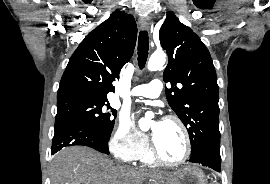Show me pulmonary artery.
Returning a JSON list of instances; mask_svg holds the SVG:
<instances>
[{"label":"pulmonary artery","instance_id":"obj_1","mask_svg":"<svg viewBox=\"0 0 270 184\" xmlns=\"http://www.w3.org/2000/svg\"><path fill=\"white\" fill-rule=\"evenodd\" d=\"M162 88V82L158 79H154L148 84L134 87L130 94L137 97L157 98L162 92Z\"/></svg>","mask_w":270,"mask_h":184}]
</instances>
